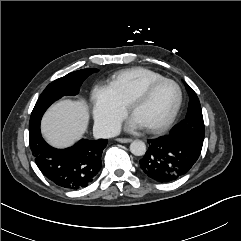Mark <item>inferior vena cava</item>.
<instances>
[{"mask_svg": "<svg viewBox=\"0 0 241 241\" xmlns=\"http://www.w3.org/2000/svg\"><path fill=\"white\" fill-rule=\"evenodd\" d=\"M121 131L120 124L117 123H100L97 122L93 126V135L96 139H108L119 135Z\"/></svg>", "mask_w": 241, "mask_h": 241, "instance_id": "obj_1", "label": "inferior vena cava"}]
</instances>
